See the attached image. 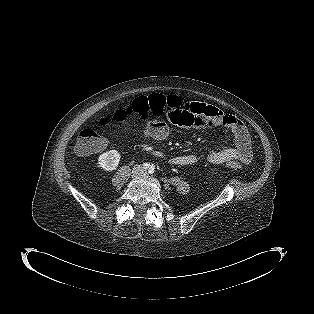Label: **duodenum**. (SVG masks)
Listing matches in <instances>:
<instances>
[{
	"instance_id": "410a0bca",
	"label": "duodenum",
	"mask_w": 314,
	"mask_h": 314,
	"mask_svg": "<svg viewBox=\"0 0 314 314\" xmlns=\"http://www.w3.org/2000/svg\"><path fill=\"white\" fill-rule=\"evenodd\" d=\"M157 155H158V156H162V154H161V153H157Z\"/></svg>"
}]
</instances>
